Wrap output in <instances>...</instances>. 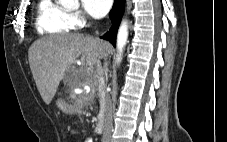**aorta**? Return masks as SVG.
I'll return each mask as SVG.
<instances>
[{
	"mask_svg": "<svg viewBox=\"0 0 227 142\" xmlns=\"http://www.w3.org/2000/svg\"><path fill=\"white\" fill-rule=\"evenodd\" d=\"M59 2L63 5H76L78 3V0H59ZM127 39H128V24L127 21L124 20L122 21L117 34V51H118V54L116 56L117 64L120 63L122 59V52L127 43Z\"/></svg>",
	"mask_w": 227,
	"mask_h": 142,
	"instance_id": "obj_1",
	"label": "aorta"
}]
</instances>
